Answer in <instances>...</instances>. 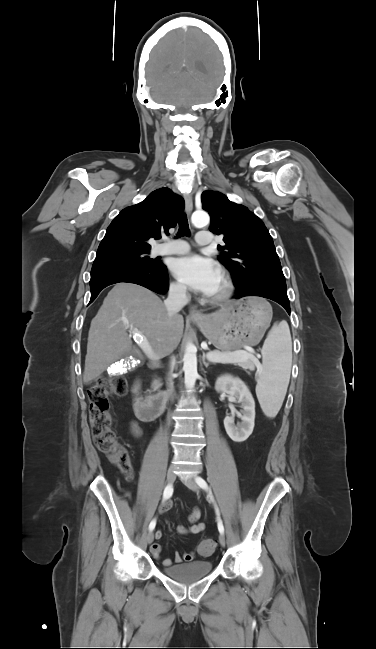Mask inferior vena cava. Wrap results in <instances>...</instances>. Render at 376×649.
Returning <instances> with one entry per match:
<instances>
[{
	"instance_id": "602c4592",
	"label": "inferior vena cava",
	"mask_w": 376,
	"mask_h": 649,
	"mask_svg": "<svg viewBox=\"0 0 376 649\" xmlns=\"http://www.w3.org/2000/svg\"><path fill=\"white\" fill-rule=\"evenodd\" d=\"M188 300L187 288L185 285L170 286L168 297L164 301L168 316L170 317L177 314L188 303ZM172 393L173 387L172 384H170L167 394L172 395Z\"/></svg>"
}]
</instances>
